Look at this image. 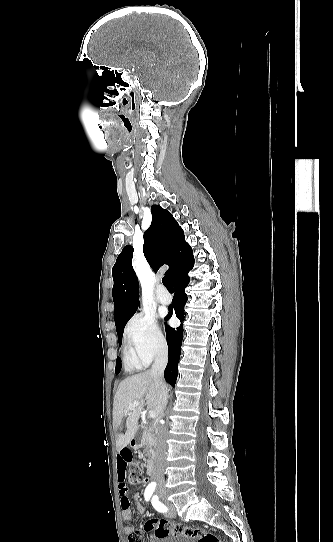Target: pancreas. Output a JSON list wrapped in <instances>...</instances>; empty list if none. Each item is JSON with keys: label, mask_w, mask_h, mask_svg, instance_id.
Listing matches in <instances>:
<instances>
[{"label": "pancreas", "mask_w": 333, "mask_h": 542, "mask_svg": "<svg viewBox=\"0 0 333 542\" xmlns=\"http://www.w3.org/2000/svg\"><path fill=\"white\" fill-rule=\"evenodd\" d=\"M155 430H150L146 444H145V450L144 454L147 456V458H154L155 456V446H156V438H155Z\"/></svg>", "instance_id": "1"}]
</instances>
